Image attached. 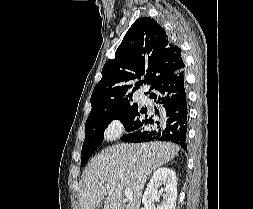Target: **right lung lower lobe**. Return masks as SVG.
Returning a JSON list of instances; mask_svg holds the SVG:
<instances>
[{"label": "right lung lower lobe", "instance_id": "98d812e1", "mask_svg": "<svg viewBox=\"0 0 253 209\" xmlns=\"http://www.w3.org/2000/svg\"><path fill=\"white\" fill-rule=\"evenodd\" d=\"M151 98L165 111L159 118L146 117L143 125L122 141L139 143L171 141L187 149V98L183 70L169 77Z\"/></svg>", "mask_w": 253, "mask_h": 209}]
</instances>
